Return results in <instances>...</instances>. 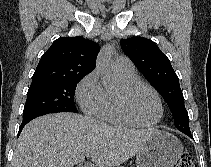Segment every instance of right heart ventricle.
Instances as JSON below:
<instances>
[{
  "label": "right heart ventricle",
  "mask_w": 211,
  "mask_h": 167,
  "mask_svg": "<svg viewBox=\"0 0 211 167\" xmlns=\"http://www.w3.org/2000/svg\"><path fill=\"white\" fill-rule=\"evenodd\" d=\"M117 74L123 83L138 81V78L134 72L122 73L117 71ZM114 96L115 95L112 93H106L107 104L105 112L103 113L101 119L116 126H121V127L134 126L120 116L115 106Z\"/></svg>",
  "instance_id": "e07e8e85"
}]
</instances>
